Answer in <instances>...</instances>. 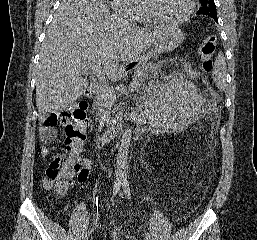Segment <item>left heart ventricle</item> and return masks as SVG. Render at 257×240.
<instances>
[{"label": "left heart ventricle", "mask_w": 257, "mask_h": 240, "mask_svg": "<svg viewBox=\"0 0 257 240\" xmlns=\"http://www.w3.org/2000/svg\"><path fill=\"white\" fill-rule=\"evenodd\" d=\"M153 6L161 16L176 18L185 12L188 0H153Z\"/></svg>", "instance_id": "left-heart-ventricle-1"}]
</instances>
